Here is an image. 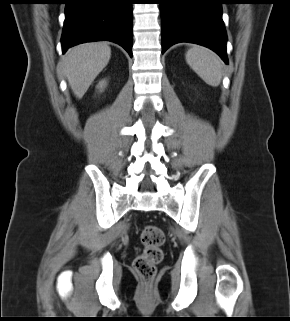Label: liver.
I'll use <instances>...</instances> for the list:
<instances>
[{
  "label": "liver",
  "mask_w": 290,
  "mask_h": 321,
  "mask_svg": "<svg viewBox=\"0 0 290 321\" xmlns=\"http://www.w3.org/2000/svg\"><path fill=\"white\" fill-rule=\"evenodd\" d=\"M111 48L105 42L83 43L62 57L61 69L74 95L81 99L97 75L106 67Z\"/></svg>",
  "instance_id": "liver-1"
}]
</instances>
